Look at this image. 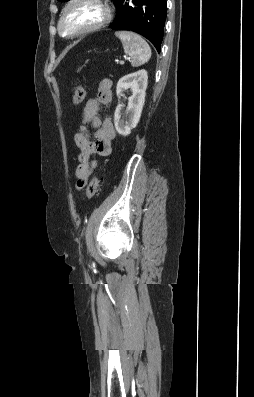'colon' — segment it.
Returning a JSON list of instances; mask_svg holds the SVG:
<instances>
[{
	"instance_id": "5ec220e1",
	"label": "colon",
	"mask_w": 254,
	"mask_h": 397,
	"mask_svg": "<svg viewBox=\"0 0 254 397\" xmlns=\"http://www.w3.org/2000/svg\"><path fill=\"white\" fill-rule=\"evenodd\" d=\"M85 99V89L82 85H76L73 94V104L80 105ZM101 189V179L94 176L90 181L86 193L88 198L96 196Z\"/></svg>"
}]
</instances>
